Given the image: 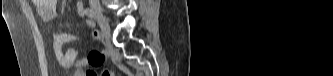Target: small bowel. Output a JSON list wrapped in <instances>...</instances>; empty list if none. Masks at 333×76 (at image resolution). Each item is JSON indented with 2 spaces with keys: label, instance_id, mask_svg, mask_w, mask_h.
<instances>
[{
  "label": "small bowel",
  "instance_id": "obj_1",
  "mask_svg": "<svg viewBox=\"0 0 333 76\" xmlns=\"http://www.w3.org/2000/svg\"><path fill=\"white\" fill-rule=\"evenodd\" d=\"M36 10L41 18L46 21H52L56 17V7L58 0H36ZM77 9L81 16H85L83 10V2H77ZM87 24L90 27H94V24L90 19L87 20ZM95 38L99 37L98 33H93ZM79 39L64 31H59L53 36V49L58 61V65L63 69L76 68V76H84L83 69L87 66L98 68L105 60V55L96 51H92L88 56L82 57L77 60L78 48L71 47L64 49V45L67 43H78ZM92 70V69H89ZM96 72V70H92Z\"/></svg>",
  "mask_w": 333,
  "mask_h": 76
}]
</instances>
